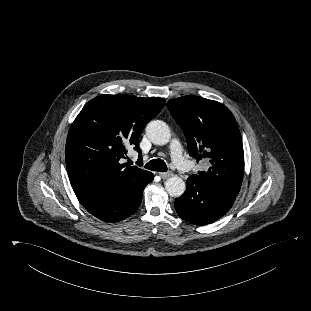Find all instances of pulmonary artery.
Segmentation results:
<instances>
[{
	"mask_svg": "<svg viewBox=\"0 0 311 311\" xmlns=\"http://www.w3.org/2000/svg\"><path fill=\"white\" fill-rule=\"evenodd\" d=\"M170 153L174 165L182 171H189L191 163L185 159L180 142L173 139L170 143Z\"/></svg>",
	"mask_w": 311,
	"mask_h": 311,
	"instance_id": "1",
	"label": "pulmonary artery"
}]
</instances>
